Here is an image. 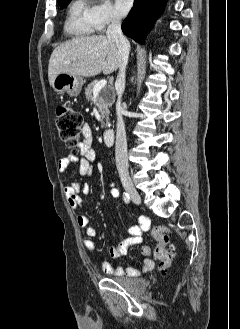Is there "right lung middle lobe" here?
<instances>
[{"instance_id":"obj_1","label":"right lung middle lobe","mask_w":240,"mask_h":329,"mask_svg":"<svg viewBox=\"0 0 240 329\" xmlns=\"http://www.w3.org/2000/svg\"><path fill=\"white\" fill-rule=\"evenodd\" d=\"M70 1L71 0H61V1H58V4H60L61 8H65Z\"/></svg>"}]
</instances>
